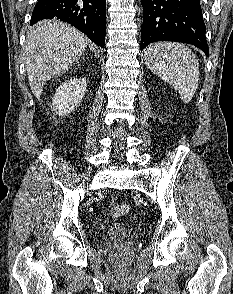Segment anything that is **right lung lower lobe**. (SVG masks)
Here are the masks:
<instances>
[{"mask_svg": "<svg viewBox=\"0 0 233 294\" xmlns=\"http://www.w3.org/2000/svg\"><path fill=\"white\" fill-rule=\"evenodd\" d=\"M52 18L75 26L91 41L105 46L106 0H38L30 24Z\"/></svg>", "mask_w": 233, "mask_h": 294, "instance_id": "right-lung-lower-lobe-1", "label": "right lung lower lobe"}]
</instances>
